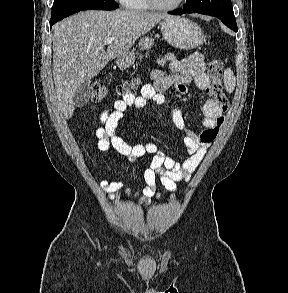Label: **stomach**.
Segmentation results:
<instances>
[{
    "label": "stomach",
    "mask_w": 288,
    "mask_h": 293,
    "mask_svg": "<svg viewBox=\"0 0 288 293\" xmlns=\"http://www.w3.org/2000/svg\"><path fill=\"white\" fill-rule=\"evenodd\" d=\"M162 34L167 42L178 49H194L204 41V34L199 25L189 19L178 16H168L162 22ZM154 40L144 37L139 41L140 49L148 50L153 46ZM135 62L134 51L127 52L118 57L117 65L120 69H126Z\"/></svg>",
    "instance_id": "obj_1"
}]
</instances>
